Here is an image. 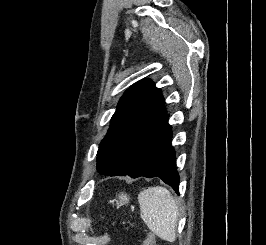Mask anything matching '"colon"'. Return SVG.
I'll use <instances>...</instances> for the list:
<instances>
[{"mask_svg":"<svg viewBox=\"0 0 266 245\" xmlns=\"http://www.w3.org/2000/svg\"><path fill=\"white\" fill-rule=\"evenodd\" d=\"M142 245H155V240L151 234H148L144 240Z\"/></svg>","mask_w":266,"mask_h":245,"instance_id":"obj_1","label":"colon"}]
</instances>
